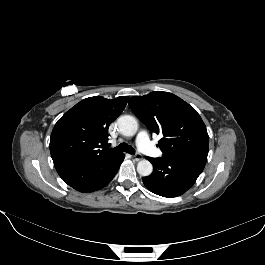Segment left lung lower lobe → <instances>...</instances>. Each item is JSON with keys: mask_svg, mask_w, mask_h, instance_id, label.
Returning <instances> with one entry per match:
<instances>
[{"mask_svg": "<svg viewBox=\"0 0 265 265\" xmlns=\"http://www.w3.org/2000/svg\"><path fill=\"white\" fill-rule=\"evenodd\" d=\"M208 148H196L161 158L146 157L153 165V173L143 178L144 185L163 197H177L190 189L203 171Z\"/></svg>", "mask_w": 265, "mask_h": 265, "instance_id": "0a47b994", "label": "left lung lower lobe"}]
</instances>
